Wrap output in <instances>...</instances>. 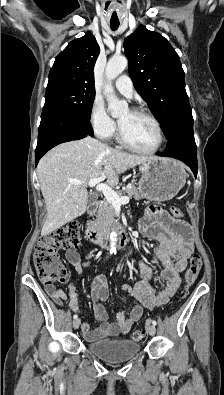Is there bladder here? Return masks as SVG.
Listing matches in <instances>:
<instances>
[{
	"label": "bladder",
	"mask_w": 224,
	"mask_h": 395,
	"mask_svg": "<svg viewBox=\"0 0 224 395\" xmlns=\"http://www.w3.org/2000/svg\"><path fill=\"white\" fill-rule=\"evenodd\" d=\"M87 350L106 362H122L135 357L141 350L139 343L126 337L103 339L86 344Z\"/></svg>",
	"instance_id": "bladder-1"
}]
</instances>
